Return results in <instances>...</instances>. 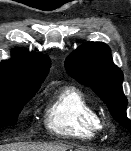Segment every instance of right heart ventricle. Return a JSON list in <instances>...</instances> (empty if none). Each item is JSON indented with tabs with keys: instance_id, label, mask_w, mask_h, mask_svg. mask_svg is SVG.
Returning <instances> with one entry per match:
<instances>
[{
	"instance_id": "right-heart-ventricle-1",
	"label": "right heart ventricle",
	"mask_w": 131,
	"mask_h": 151,
	"mask_svg": "<svg viewBox=\"0 0 131 151\" xmlns=\"http://www.w3.org/2000/svg\"><path fill=\"white\" fill-rule=\"evenodd\" d=\"M47 128L56 135L91 140L103 131L95 106L75 87L60 90L46 111Z\"/></svg>"
}]
</instances>
